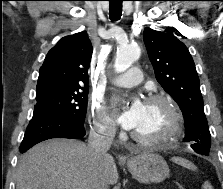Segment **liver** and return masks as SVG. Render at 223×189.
<instances>
[{"label": "liver", "instance_id": "liver-1", "mask_svg": "<svg viewBox=\"0 0 223 189\" xmlns=\"http://www.w3.org/2000/svg\"><path fill=\"white\" fill-rule=\"evenodd\" d=\"M111 155H93L83 142L51 139L25 153L18 164L16 189H98L101 182L117 183Z\"/></svg>", "mask_w": 223, "mask_h": 189}]
</instances>
